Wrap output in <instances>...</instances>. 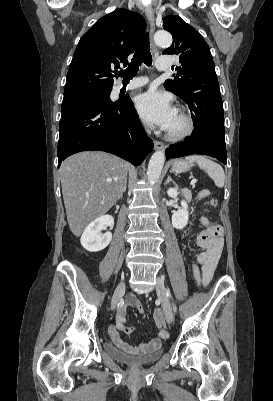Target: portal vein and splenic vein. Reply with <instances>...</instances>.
Listing matches in <instances>:
<instances>
[{
    "instance_id": "portal-vein-and-splenic-vein-1",
    "label": "portal vein and splenic vein",
    "mask_w": 273,
    "mask_h": 401,
    "mask_svg": "<svg viewBox=\"0 0 273 401\" xmlns=\"http://www.w3.org/2000/svg\"><path fill=\"white\" fill-rule=\"evenodd\" d=\"M191 184H193V185H196V184H197L196 178H192Z\"/></svg>"
}]
</instances>
